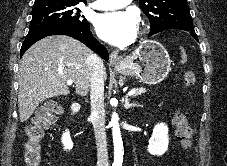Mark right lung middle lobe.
Masks as SVG:
<instances>
[{
  "label": "right lung middle lobe",
  "mask_w": 227,
  "mask_h": 166,
  "mask_svg": "<svg viewBox=\"0 0 227 166\" xmlns=\"http://www.w3.org/2000/svg\"><path fill=\"white\" fill-rule=\"evenodd\" d=\"M75 5L55 2L33 5L29 33L49 26L89 27L88 21L80 15Z\"/></svg>",
  "instance_id": "obj_1"
}]
</instances>
